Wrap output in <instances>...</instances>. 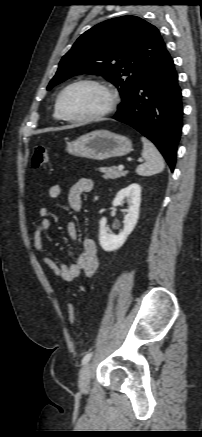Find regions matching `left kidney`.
I'll return each instance as SVG.
<instances>
[{
	"instance_id": "left-kidney-1",
	"label": "left kidney",
	"mask_w": 202,
	"mask_h": 437,
	"mask_svg": "<svg viewBox=\"0 0 202 437\" xmlns=\"http://www.w3.org/2000/svg\"><path fill=\"white\" fill-rule=\"evenodd\" d=\"M124 199H127L129 208L127 214L124 216V228L118 235H115L109 230L105 217L100 220L99 243L105 251L109 252L119 249L134 230L139 218L141 202L140 185L133 183L121 189L112 202L113 206L122 205Z\"/></svg>"
}]
</instances>
